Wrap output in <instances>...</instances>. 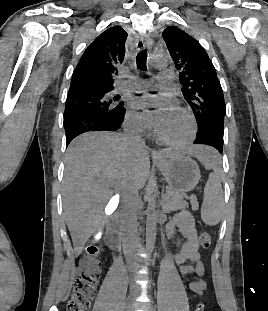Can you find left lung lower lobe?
Here are the masks:
<instances>
[{
    "label": "left lung lower lobe",
    "mask_w": 268,
    "mask_h": 311,
    "mask_svg": "<svg viewBox=\"0 0 268 311\" xmlns=\"http://www.w3.org/2000/svg\"><path fill=\"white\" fill-rule=\"evenodd\" d=\"M217 125L211 128H200L197 132L195 144H210L216 148L220 154L223 152L224 116L218 115Z\"/></svg>",
    "instance_id": "1"
}]
</instances>
